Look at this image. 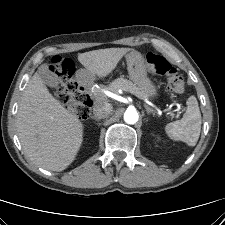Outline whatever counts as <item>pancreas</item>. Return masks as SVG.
Masks as SVG:
<instances>
[{
	"mask_svg": "<svg viewBox=\"0 0 225 225\" xmlns=\"http://www.w3.org/2000/svg\"><path fill=\"white\" fill-rule=\"evenodd\" d=\"M108 89L114 93H118L119 90L130 92L137 97L145 98V94L128 79L122 77L114 80L108 87Z\"/></svg>",
	"mask_w": 225,
	"mask_h": 225,
	"instance_id": "pancreas-1",
	"label": "pancreas"
}]
</instances>
